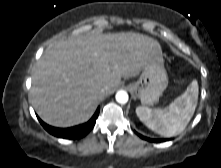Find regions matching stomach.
Segmentation results:
<instances>
[{
    "label": "stomach",
    "mask_w": 221,
    "mask_h": 168,
    "mask_svg": "<svg viewBox=\"0 0 221 168\" xmlns=\"http://www.w3.org/2000/svg\"><path fill=\"white\" fill-rule=\"evenodd\" d=\"M167 85L168 77L164 61L155 58L144 66L139 79L130 83L128 88L143 105H153L158 102Z\"/></svg>",
    "instance_id": "stomach-1"
}]
</instances>
